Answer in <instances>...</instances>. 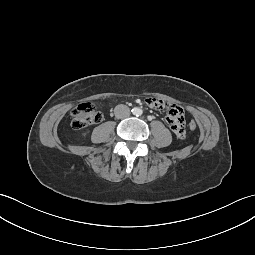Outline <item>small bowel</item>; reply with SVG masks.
Masks as SVG:
<instances>
[{"label": "small bowel", "instance_id": "obj_1", "mask_svg": "<svg viewBox=\"0 0 255 255\" xmlns=\"http://www.w3.org/2000/svg\"><path fill=\"white\" fill-rule=\"evenodd\" d=\"M144 103L152 108L164 110L165 125L168 132L178 140L185 142L190 134L186 127V117L180 106L173 101H165L157 96H146Z\"/></svg>", "mask_w": 255, "mask_h": 255}]
</instances>
